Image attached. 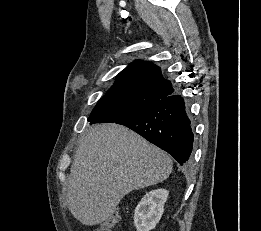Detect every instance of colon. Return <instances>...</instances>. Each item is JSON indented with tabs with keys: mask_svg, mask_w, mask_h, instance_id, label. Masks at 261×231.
Segmentation results:
<instances>
[{
	"mask_svg": "<svg viewBox=\"0 0 261 231\" xmlns=\"http://www.w3.org/2000/svg\"><path fill=\"white\" fill-rule=\"evenodd\" d=\"M118 219H119V211L118 209H113L108 215V218L100 225L95 227L93 231H112V226L117 222Z\"/></svg>",
	"mask_w": 261,
	"mask_h": 231,
	"instance_id": "colon-1",
	"label": "colon"
}]
</instances>
